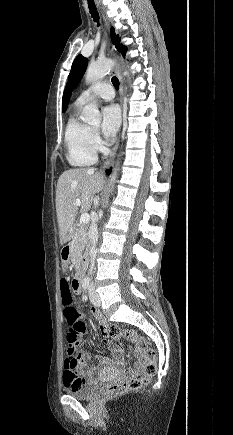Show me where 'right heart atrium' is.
I'll list each match as a JSON object with an SVG mask.
<instances>
[{
  "instance_id": "obj_1",
  "label": "right heart atrium",
  "mask_w": 233,
  "mask_h": 435,
  "mask_svg": "<svg viewBox=\"0 0 233 435\" xmlns=\"http://www.w3.org/2000/svg\"><path fill=\"white\" fill-rule=\"evenodd\" d=\"M92 146L95 150H99L101 148L100 138L97 133H92Z\"/></svg>"
}]
</instances>
